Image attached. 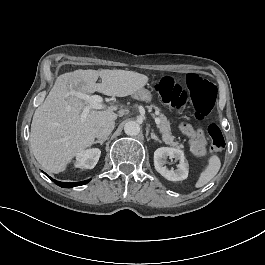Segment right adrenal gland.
<instances>
[{"mask_svg":"<svg viewBox=\"0 0 265 265\" xmlns=\"http://www.w3.org/2000/svg\"><path fill=\"white\" fill-rule=\"evenodd\" d=\"M106 140H107V138H106V139H99V140L94 141L93 144H97V143H99L100 145H103V143H104Z\"/></svg>","mask_w":265,"mask_h":265,"instance_id":"2a0ac1e0","label":"right adrenal gland"}]
</instances>
